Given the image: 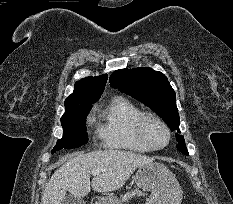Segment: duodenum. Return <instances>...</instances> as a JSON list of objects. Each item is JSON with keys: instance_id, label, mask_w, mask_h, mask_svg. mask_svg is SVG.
Here are the masks:
<instances>
[{"instance_id": "obj_1", "label": "duodenum", "mask_w": 233, "mask_h": 204, "mask_svg": "<svg viewBox=\"0 0 233 204\" xmlns=\"http://www.w3.org/2000/svg\"><path fill=\"white\" fill-rule=\"evenodd\" d=\"M92 204H103V203L100 199L96 198L92 201Z\"/></svg>"}]
</instances>
